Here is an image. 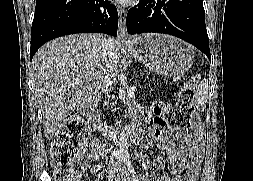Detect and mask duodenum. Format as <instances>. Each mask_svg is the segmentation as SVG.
I'll list each match as a JSON object with an SVG mask.
<instances>
[{
	"label": "duodenum",
	"mask_w": 253,
	"mask_h": 181,
	"mask_svg": "<svg viewBox=\"0 0 253 181\" xmlns=\"http://www.w3.org/2000/svg\"><path fill=\"white\" fill-rule=\"evenodd\" d=\"M96 101V97L92 96L90 98H88L86 101H84L78 108L79 113L85 117L86 119H88L93 128L97 131H102V133H106L107 135H111V136H118L120 134V129H114V130H102L97 122V119L94 116L93 113V105ZM126 133H129L132 136H136L135 131L130 130V129H125Z\"/></svg>",
	"instance_id": "410a0bca"
}]
</instances>
